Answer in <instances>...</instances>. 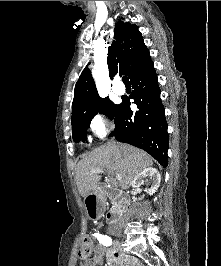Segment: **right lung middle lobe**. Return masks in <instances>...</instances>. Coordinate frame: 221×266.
Segmentation results:
<instances>
[{
    "label": "right lung middle lobe",
    "instance_id": "right-lung-middle-lobe-1",
    "mask_svg": "<svg viewBox=\"0 0 221 266\" xmlns=\"http://www.w3.org/2000/svg\"><path fill=\"white\" fill-rule=\"evenodd\" d=\"M118 108L119 105L113 104V102L106 97L104 99L101 98L89 112L73 117L71 119L73 140L75 142H84L90 122L98 112L107 115L110 119H115Z\"/></svg>",
    "mask_w": 221,
    "mask_h": 266
}]
</instances>
